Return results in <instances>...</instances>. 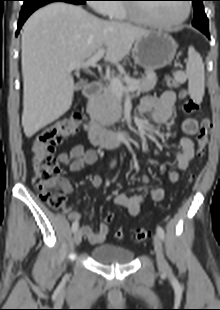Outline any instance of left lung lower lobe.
I'll use <instances>...</instances> for the list:
<instances>
[{"instance_id":"left-lung-lower-lobe-1","label":"left lung lower lobe","mask_w":220,"mask_h":310,"mask_svg":"<svg viewBox=\"0 0 220 310\" xmlns=\"http://www.w3.org/2000/svg\"><path fill=\"white\" fill-rule=\"evenodd\" d=\"M203 33H204L208 38L210 37V36H209V31H204Z\"/></svg>"}]
</instances>
